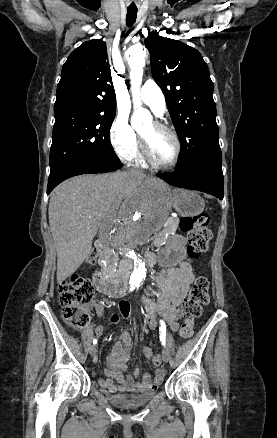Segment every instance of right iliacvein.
Wrapping results in <instances>:
<instances>
[{
	"instance_id": "63e3f726",
	"label": "right iliac vein",
	"mask_w": 277,
	"mask_h": 438,
	"mask_svg": "<svg viewBox=\"0 0 277 438\" xmlns=\"http://www.w3.org/2000/svg\"><path fill=\"white\" fill-rule=\"evenodd\" d=\"M97 347L95 345L90 346L89 354L92 356L96 353Z\"/></svg>"
}]
</instances>
